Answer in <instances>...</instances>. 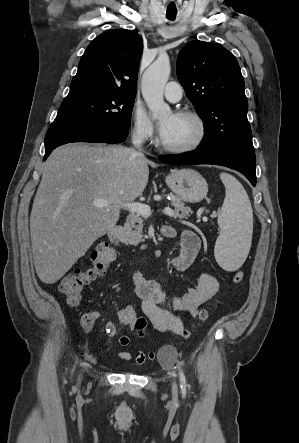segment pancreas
Instances as JSON below:
<instances>
[{
	"instance_id": "pancreas-1",
	"label": "pancreas",
	"mask_w": 299,
	"mask_h": 443,
	"mask_svg": "<svg viewBox=\"0 0 299 443\" xmlns=\"http://www.w3.org/2000/svg\"><path fill=\"white\" fill-rule=\"evenodd\" d=\"M171 205L174 207V218H187L192 213L188 206H185L184 202L177 196L170 195ZM143 219L139 214L132 213L127 217L126 223L123 227V234L120 236V240L126 244L137 246L139 243L144 242V236L142 234Z\"/></svg>"
}]
</instances>
